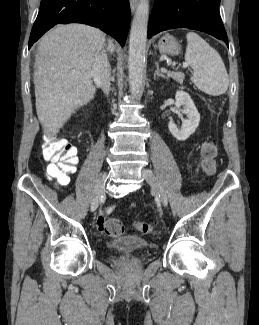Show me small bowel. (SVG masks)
I'll return each mask as SVG.
<instances>
[{
	"mask_svg": "<svg viewBox=\"0 0 259 325\" xmlns=\"http://www.w3.org/2000/svg\"><path fill=\"white\" fill-rule=\"evenodd\" d=\"M105 223H106L105 215L103 213H100L97 218V227L100 231H104Z\"/></svg>",
	"mask_w": 259,
	"mask_h": 325,
	"instance_id": "1",
	"label": "small bowel"
}]
</instances>
